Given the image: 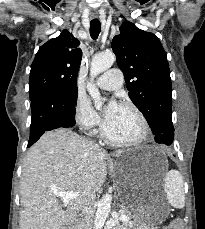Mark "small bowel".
<instances>
[{"label": "small bowel", "instance_id": "c3829d8e", "mask_svg": "<svg viewBox=\"0 0 205 229\" xmlns=\"http://www.w3.org/2000/svg\"><path fill=\"white\" fill-rule=\"evenodd\" d=\"M164 229H181V223L173 222L169 226L165 227Z\"/></svg>", "mask_w": 205, "mask_h": 229}]
</instances>
